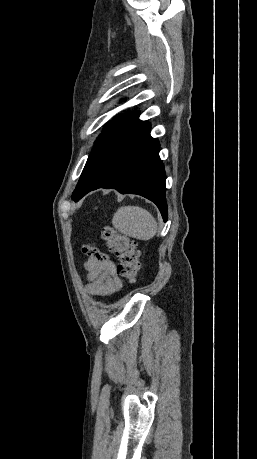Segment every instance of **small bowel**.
I'll use <instances>...</instances> for the list:
<instances>
[{"mask_svg": "<svg viewBox=\"0 0 257 459\" xmlns=\"http://www.w3.org/2000/svg\"><path fill=\"white\" fill-rule=\"evenodd\" d=\"M84 252L87 255L84 262L87 291L97 297L110 296L120 291L122 282L117 276L115 263L95 247L86 246Z\"/></svg>", "mask_w": 257, "mask_h": 459, "instance_id": "c3829d8e", "label": "small bowel"}]
</instances>
